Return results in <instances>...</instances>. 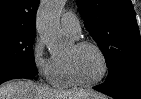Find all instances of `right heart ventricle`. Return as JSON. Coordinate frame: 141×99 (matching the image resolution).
<instances>
[{
    "label": "right heart ventricle",
    "mask_w": 141,
    "mask_h": 99,
    "mask_svg": "<svg viewBox=\"0 0 141 99\" xmlns=\"http://www.w3.org/2000/svg\"><path fill=\"white\" fill-rule=\"evenodd\" d=\"M50 82L58 88H68L74 85L69 76L65 58H54V71Z\"/></svg>",
    "instance_id": "e07e8e85"
}]
</instances>
